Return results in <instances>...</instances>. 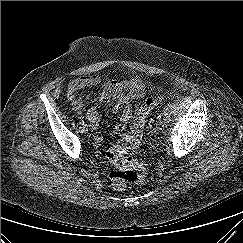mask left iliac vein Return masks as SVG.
<instances>
[{"label": "left iliac vein", "instance_id": "1", "mask_svg": "<svg viewBox=\"0 0 243 243\" xmlns=\"http://www.w3.org/2000/svg\"><path fill=\"white\" fill-rule=\"evenodd\" d=\"M162 127H163V124H162L161 120L160 121L158 120L156 122V129L161 130Z\"/></svg>", "mask_w": 243, "mask_h": 243}]
</instances>
